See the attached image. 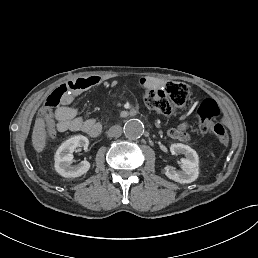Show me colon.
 Instances as JSON below:
<instances>
[{"instance_id":"colon-1","label":"colon","mask_w":258,"mask_h":258,"mask_svg":"<svg viewBox=\"0 0 258 258\" xmlns=\"http://www.w3.org/2000/svg\"><path fill=\"white\" fill-rule=\"evenodd\" d=\"M73 90L74 86L69 82L63 83L53 90L48 96L41 112L43 118L45 120L50 119L54 111L69 99ZM189 96L190 88L188 85L182 82L171 81L160 89L149 91L146 94V103L157 114L167 116L182 107L187 102ZM219 112V107L213 99L202 101L197 108L199 121L196 129L200 133L212 131L220 143L227 146L229 135L225 126L222 123L214 122Z\"/></svg>"}]
</instances>
